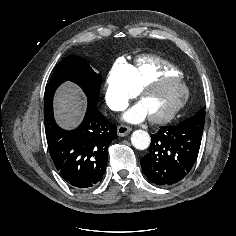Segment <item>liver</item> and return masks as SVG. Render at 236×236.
<instances>
[{"instance_id": "liver-1", "label": "liver", "mask_w": 236, "mask_h": 236, "mask_svg": "<svg viewBox=\"0 0 236 236\" xmlns=\"http://www.w3.org/2000/svg\"><path fill=\"white\" fill-rule=\"evenodd\" d=\"M54 107L55 118L60 126L64 128L76 126L85 109L81 90L72 83L64 84L56 94Z\"/></svg>"}]
</instances>
